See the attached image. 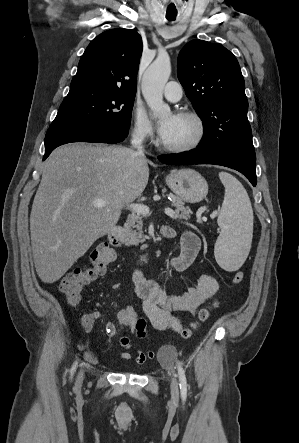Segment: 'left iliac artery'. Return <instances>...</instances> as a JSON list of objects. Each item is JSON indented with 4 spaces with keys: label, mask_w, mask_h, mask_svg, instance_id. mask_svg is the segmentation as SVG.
Returning <instances> with one entry per match:
<instances>
[{
    "label": "left iliac artery",
    "mask_w": 299,
    "mask_h": 443,
    "mask_svg": "<svg viewBox=\"0 0 299 443\" xmlns=\"http://www.w3.org/2000/svg\"><path fill=\"white\" fill-rule=\"evenodd\" d=\"M177 366H178L181 395L182 398L185 399L187 396V381H186L185 371L180 362H178Z\"/></svg>",
    "instance_id": "44dca946"
}]
</instances>
